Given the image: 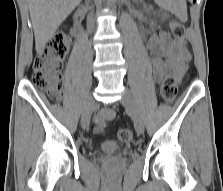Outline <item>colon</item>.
<instances>
[{
	"mask_svg": "<svg viewBox=\"0 0 223 191\" xmlns=\"http://www.w3.org/2000/svg\"><path fill=\"white\" fill-rule=\"evenodd\" d=\"M170 31L181 44L186 43V28L182 23L171 22ZM69 48V40L65 35L54 38L33 62L32 83L44 91L51 99L59 100L62 95V74L64 58ZM177 94V84L173 77H167L161 87V96L166 103H171ZM122 143H130L133 134L129 129L118 133Z\"/></svg>",
	"mask_w": 223,
	"mask_h": 191,
	"instance_id": "5ec220e1",
	"label": "colon"
}]
</instances>
